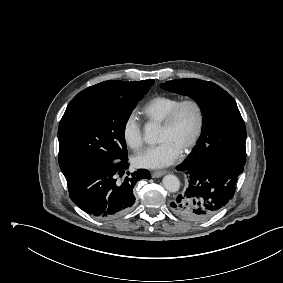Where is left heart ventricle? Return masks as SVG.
<instances>
[{
  "mask_svg": "<svg viewBox=\"0 0 283 283\" xmlns=\"http://www.w3.org/2000/svg\"><path fill=\"white\" fill-rule=\"evenodd\" d=\"M196 122L195 109L192 106H186L181 110L176 124L172 129H160L158 141H169L182 150L192 137Z\"/></svg>",
  "mask_w": 283,
  "mask_h": 283,
  "instance_id": "b2bd125f",
  "label": "left heart ventricle"
}]
</instances>
